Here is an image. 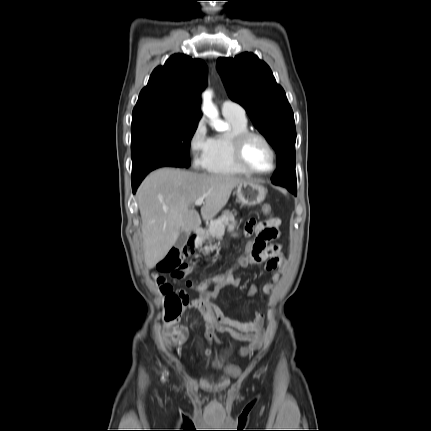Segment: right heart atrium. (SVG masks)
Instances as JSON below:
<instances>
[{"instance_id":"d8ad5b80","label":"right heart atrium","mask_w":431,"mask_h":431,"mask_svg":"<svg viewBox=\"0 0 431 431\" xmlns=\"http://www.w3.org/2000/svg\"><path fill=\"white\" fill-rule=\"evenodd\" d=\"M212 142L213 138L210 137L204 120H198L188 137V150L195 169L207 168L211 157Z\"/></svg>"}]
</instances>
